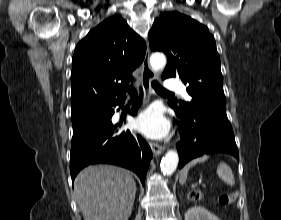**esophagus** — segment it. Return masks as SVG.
Returning a JSON list of instances; mask_svg holds the SVG:
<instances>
[{"label": "esophagus", "instance_id": "esophagus-1", "mask_svg": "<svg viewBox=\"0 0 281 220\" xmlns=\"http://www.w3.org/2000/svg\"><path fill=\"white\" fill-rule=\"evenodd\" d=\"M149 56L150 51L147 47L145 58L142 64V74H141V82L144 90L150 94L151 93V82L155 79L156 75L155 72L151 69L150 63H149ZM150 148L154 154V156H159L164 151V146L159 145L157 143H149Z\"/></svg>", "mask_w": 281, "mask_h": 220}]
</instances>
